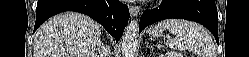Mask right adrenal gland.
I'll use <instances>...</instances> for the list:
<instances>
[{
  "mask_svg": "<svg viewBox=\"0 0 249 57\" xmlns=\"http://www.w3.org/2000/svg\"><path fill=\"white\" fill-rule=\"evenodd\" d=\"M98 53L102 56L108 55V47L104 45V43H101V41L98 42Z\"/></svg>",
  "mask_w": 249,
  "mask_h": 57,
  "instance_id": "obj_1",
  "label": "right adrenal gland"
}]
</instances>
